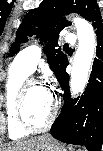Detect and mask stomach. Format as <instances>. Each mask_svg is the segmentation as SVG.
Here are the masks:
<instances>
[{
    "label": "stomach",
    "instance_id": "0dacf381",
    "mask_svg": "<svg viewBox=\"0 0 103 151\" xmlns=\"http://www.w3.org/2000/svg\"><path fill=\"white\" fill-rule=\"evenodd\" d=\"M32 151H66L65 148L49 135L40 136Z\"/></svg>",
    "mask_w": 103,
    "mask_h": 151
}]
</instances>
